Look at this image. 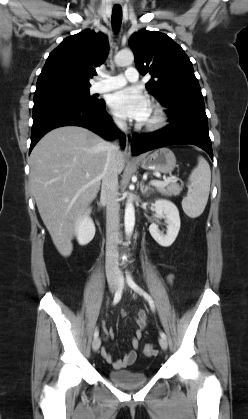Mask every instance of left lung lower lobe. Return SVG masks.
<instances>
[{"label": "left lung lower lobe", "mask_w": 248, "mask_h": 419, "mask_svg": "<svg viewBox=\"0 0 248 419\" xmlns=\"http://www.w3.org/2000/svg\"><path fill=\"white\" fill-rule=\"evenodd\" d=\"M170 124L149 134L133 135L134 155L172 144H193L205 150L213 160L205 106H191L168 114Z\"/></svg>", "instance_id": "obj_1"}]
</instances>
